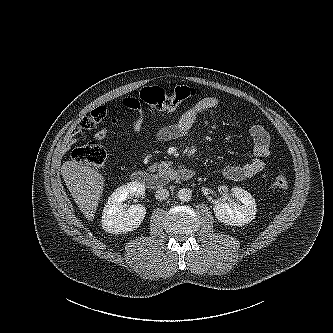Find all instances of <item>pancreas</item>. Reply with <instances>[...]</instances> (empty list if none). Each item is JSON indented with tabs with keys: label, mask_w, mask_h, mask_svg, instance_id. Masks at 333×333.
Wrapping results in <instances>:
<instances>
[{
	"label": "pancreas",
	"mask_w": 333,
	"mask_h": 333,
	"mask_svg": "<svg viewBox=\"0 0 333 333\" xmlns=\"http://www.w3.org/2000/svg\"><path fill=\"white\" fill-rule=\"evenodd\" d=\"M171 163H166V162H161L159 163H155L154 165H152L151 169L152 170H159V171H165L170 169Z\"/></svg>",
	"instance_id": "1"
}]
</instances>
